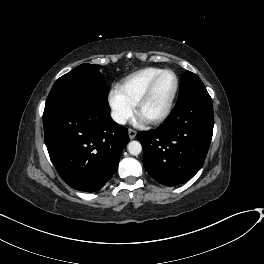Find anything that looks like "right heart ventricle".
<instances>
[{
	"instance_id": "1",
	"label": "right heart ventricle",
	"mask_w": 264,
	"mask_h": 264,
	"mask_svg": "<svg viewBox=\"0 0 264 264\" xmlns=\"http://www.w3.org/2000/svg\"><path fill=\"white\" fill-rule=\"evenodd\" d=\"M162 70L156 67L137 70L123 79L119 90L131 103L135 104L151 80Z\"/></svg>"
}]
</instances>
